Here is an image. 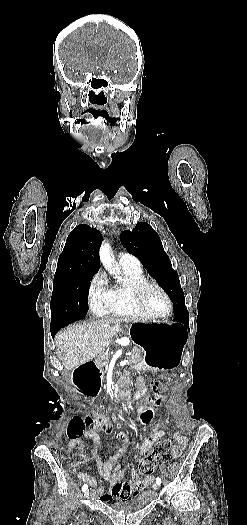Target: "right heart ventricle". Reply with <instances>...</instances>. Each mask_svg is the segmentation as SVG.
<instances>
[{
	"instance_id": "1",
	"label": "right heart ventricle",
	"mask_w": 247,
	"mask_h": 525,
	"mask_svg": "<svg viewBox=\"0 0 247 525\" xmlns=\"http://www.w3.org/2000/svg\"><path fill=\"white\" fill-rule=\"evenodd\" d=\"M118 263L122 278L112 289L116 299L106 307L101 317H148L136 307L131 291L133 284L145 279L140 262L128 254L125 258L119 257Z\"/></svg>"
}]
</instances>
